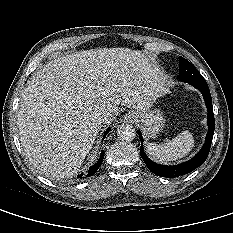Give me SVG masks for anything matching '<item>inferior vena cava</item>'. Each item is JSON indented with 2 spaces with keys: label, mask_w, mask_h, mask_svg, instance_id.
<instances>
[{
  "label": "inferior vena cava",
  "mask_w": 233,
  "mask_h": 233,
  "mask_svg": "<svg viewBox=\"0 0 233 233\" xmlns=\"http://www.w3.org/2000/svg\"><path fill=\"white\" fill-rule=\"evenodd\" d=\"M96 121L99 123H103L106 120V116L105 115H97L95 117Z\"/></svg>",
  "instance_id": "obj_1"
}]
</instances>
